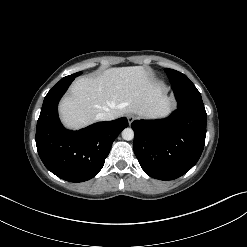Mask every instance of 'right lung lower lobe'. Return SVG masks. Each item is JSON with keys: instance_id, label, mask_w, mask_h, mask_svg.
I'll use <instances>...</instances> for the list:
<instances>
[{"instance_id": "obj_1", "label": "right lung lower lobe", "mask_w": 247, "mask_h": 247, "mask_svg": "<svg viewBox=\"0 0 247 247\" xmlns=\"http://www.w3.org/2000/svg\"><path fill=\"white\" fill-rule=\"evenodd\" d=\"M74 78L61 79L45 96L37 122L36 146L49 171L66 181L83 182L102 169L113 141L128 121L123 117L79 131L66 130L60 123L57 106Z\"/></svg>"}]
</instances>
